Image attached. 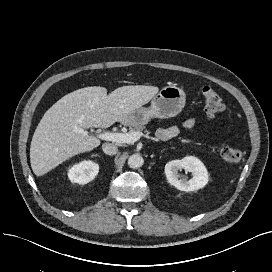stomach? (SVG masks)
<instances>
[{
    "label": "stomach",
    "mask_w": 272,
    "mask_h": 272,
    "mask_svg": "<svg viewBox=\"0 0 272 272\" xmlns=\"http://www.w3.org/2000/svg\"><path fill=\"white\" fill-rule=\"evenodd\" d=\"M185 92L174 85L165 86L151 100L150 107L135 109L124 121L125 125H145L152 118H171L178 115L185 106Z\"/></svg>",
    "instance_id": "obj_1"
}]
</instances>
